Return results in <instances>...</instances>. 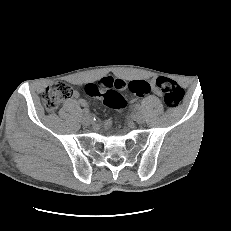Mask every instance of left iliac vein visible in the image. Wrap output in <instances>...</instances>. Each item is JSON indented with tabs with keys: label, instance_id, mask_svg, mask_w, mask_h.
<instances>
[{
	"label": "left iliac vein",
	"instance_id": "left-iliac-vein-1",
	"mask_svg": "<svg viewBox=\"0 0 231 231\" xmlns=\"http://www.w3.org/2000/svg\"><path fill=\"white\" fill-rule=\"evenodd\" d=\"M135 120L138 124H142L144 122V116L141 113H137L135 115Z\"/></svg>",
	"mask_w": 231,
	"mask_h": 231
}]
</instances>
